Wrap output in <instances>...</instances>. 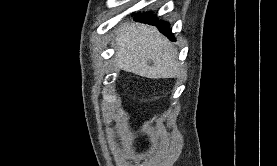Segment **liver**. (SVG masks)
Listing matches in <instances>:
<instances>
[{
  "label": "liver",
  "mask_w": 277,
  "mask_h": 166,
  "mask_svg": "<svg viewBox=\"0 0 277 166\" xmlns=\"http://www.w3.org/2000/svg\"><path fill=\"white\" fill-rule=\"evenodd\" d=\"M114 45L115 63L126 72L151 79L171 78L181 72L177 49L154 27L126 22L117 30Z\"/></svg>",
  "instance_id": "obj_1"
}]
</instances>
